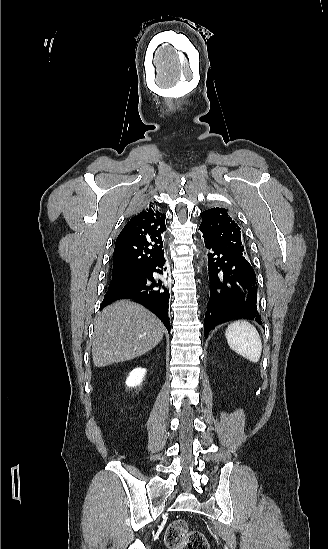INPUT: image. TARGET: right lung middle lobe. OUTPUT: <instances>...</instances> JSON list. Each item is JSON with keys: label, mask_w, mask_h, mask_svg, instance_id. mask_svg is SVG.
Here are the masks:
<instances>
[{"label": "right lung middle lobe", "mask_w": 328, "mask_h": 549, "mask_svg": "<svg viewBox=\"0 0 328 549\" xmlns=\"http://www.w3.org/2000/svg\"><path fill=\"white\" fill-rule=\"evenodd\" d=\"M139 276H140V273H131V274H125V275L112 276V281L109 285V288H112L125 281L137 278Z\"/></svg>", "instance_id": "right-lung-middle-lobe-1"}]
</instances>
